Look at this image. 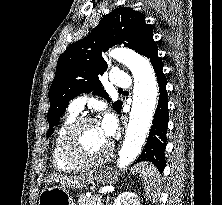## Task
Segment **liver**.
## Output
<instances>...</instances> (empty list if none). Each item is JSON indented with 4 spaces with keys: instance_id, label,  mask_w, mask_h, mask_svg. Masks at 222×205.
Here are the masks:
<instances>
[{
    "instance_id": "obj_1",
    "label": "liver",
    "mask_w": 222,
    "mask_h": 205,
    "mask_svg": "<svg viewBox=\"0 0 222 205\" xmlns=\"http://www.w3.org/2000/svg\"><path fill=\"white\" fill-rule=\"evenodd\" d=\"M93 179V174H82L74 176H58L52 179L54 182H59L63 185H67L74 188H84L88 186Z\"/></svg>"
}]
</instances>
